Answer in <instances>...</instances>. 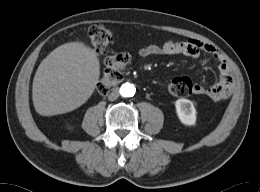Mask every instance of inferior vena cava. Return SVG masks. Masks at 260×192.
<instances>
[{"mask_svg":"<svg viewBox=\"0 0 260 192\" xmlns=\"http://www.w3.org/2000/svg\"><path fill=\"white\" fill-rule=\"evenodd\" d=\"M118 97H119V91L116 90V89H114V90L109 94L108 99H109L110 101H114V100H116Z\"/></svg>","mask_w":260,"mask_h":192,"instance_id":"602c4592","label":"inferior vena cava"}]
</instances>
